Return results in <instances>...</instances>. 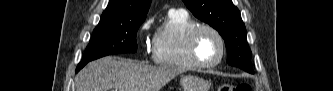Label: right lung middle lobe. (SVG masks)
Here are the masks:
<instances>
[{"mask_svg": "<svg viewBox=\"0 0 333 91\" xmlns=\"http://www.w3.org/2000/svg\"><path fill=\"white\" fill-rule=\"evenodd\" d=\"M145 18H101L93 31L82 61L89 62L111 54L136 52V33Z\"/></svg>", "mask_w": 333, "mask_h": 91, "instance_id": "1", "label": "right lung middle lobe"}]
</instances>
